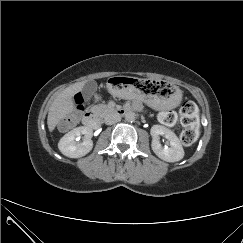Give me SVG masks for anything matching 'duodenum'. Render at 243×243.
Segmentation results:
<instances>
[{
	"label": "duodenum",
	"mask_w": 243,
	"mask_h": 243,
	"mask_svg": "<svg viewBox=\"0 0 243 243\" xmlns=\"http://www.w3.org/2000/svg\"><path fill=\"white\" fill-rule=\"evenodd\" d=\"M130 112V108H109V109H100V110H90L85 113L83 117V123L92 129H96L100 126L101 118L103 115L115 114L118 116H124Z\"/></svg>",
	"instance_id": "1"
}]
</instances>
